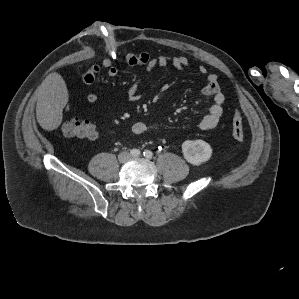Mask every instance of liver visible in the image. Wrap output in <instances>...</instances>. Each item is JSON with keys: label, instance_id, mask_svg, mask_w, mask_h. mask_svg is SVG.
<instances>
[{"label": "liver", "instance_id": "1", "mask_svg": "<svg viewBox=\"0 0 299 299\" xmlns=\"http://www.w3.org/2000/svg\"><path fill=\"white\" fill-rule=\"evenodd\" d=\"M68 99L67 86L62 76L57 72L50 73L38 88L36 104V118L44 130L52 131L60 126Z\"/></svg>", "mask_w": 299, "mask_h": 299}]
</instances>
